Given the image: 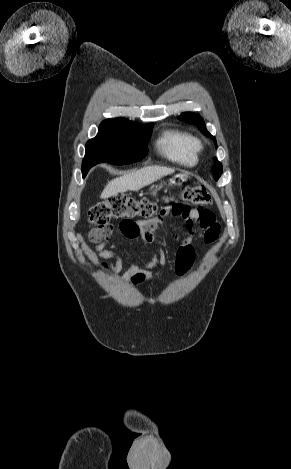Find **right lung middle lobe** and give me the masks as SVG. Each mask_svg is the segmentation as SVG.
<instances>
[{"label":"right lung middle lobe","mask_w":291,"mask_h":469,"mask_svg":"<svg viewBox=\"0 0 291 469\" xmlns=\"http://www.w3.org/2000/svg\"><path fill=\"white\" fill-rule=\"evenodd\" d=\"M152 128V123L142 126L132 121H103L97 136L86 143L83 177L98 163L121 165L142 160L147 154Z\"/></svg>","instance_id":"dd1d6c3e"}]
</instances>
